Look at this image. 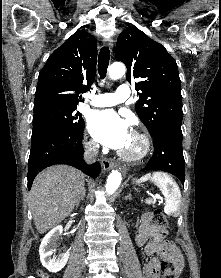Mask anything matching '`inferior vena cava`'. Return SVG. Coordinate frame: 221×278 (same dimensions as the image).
Segmentation results:
<instances>
[{
	"instance_id": "inferior-vena-cava-1",
	"label": "inferior vena cava",
	"mask_w": 221,
	"mask_h": 278,
	"mask_svg": "<svg viewBox=\"0 0 221 278\" xmlns=\"http://www.w3.org/2000/svg\"><path fill=\"white\" fill-rule=\"evenodd\" d=\"M98 151L96 149L87 150L84 154V158L88 163H93L96 160Z\"/></svg>"
}]
</instances>
